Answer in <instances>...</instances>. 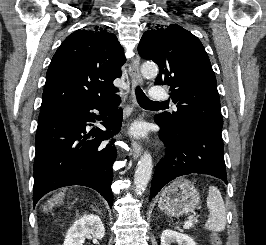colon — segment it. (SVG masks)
Listing matches in <instances>:
<instances>
[{"mask_svg":"<svg viewBox=\"0 0 266 245\" xmlns=\"http://www.w3.org/2000/svg\"><path fill=\"white\" fill-rule=\"evenodd\" d=\"M57 204H58L57 201L52 200L49 202L48 206L50 208H53V207H56ZM210 242H211V245H221V241H220L219 237H217V236H212L210 239Z\"/></svg>","mask_w":266,"mask_h":245,"instance_id":"obj_1","label":"colon"}]
</instances>
